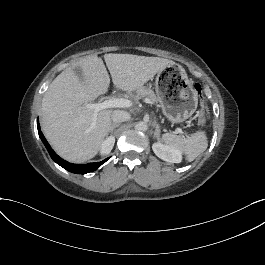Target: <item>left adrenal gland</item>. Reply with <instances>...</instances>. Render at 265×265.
<instances>
[{
    "label": "left adrenal gland",
    "mask_w": 265,
    "mask_h": 265,
    "mask_svg": "<svg viewBox=\"0 0 265 265\" xmlns=\"http://www.w3.org/2000/svg\"><path fill=\"white\" fill-rule=\"evenodd\" d=\"M154 136L157 138V140H159V137H160V127H159L158 124L156 125V129H155Z\"/></svg>",
    "instance_id": "a2214340"
}]
</instances>
